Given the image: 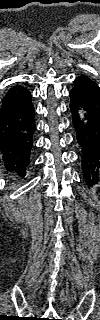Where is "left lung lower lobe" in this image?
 <instances>
[{
	"label": "left lung lower lobe",
	"mask_w": 100,
	"mask_h": 320,
	"mask_svg": "<svg viewBox=\"0 0 100 320\" xmlns=\"http://www.w3.org/2000/svg\"><path fill=\"white\" fill-rule=\"evenodd\" d=\"M70 99L84 179L92 186L100 180V88L87 76H79ZM79 110L84 111L83 119Z\"/></svg>",
	"instance_id": "obj_1"
}]
</instances>
